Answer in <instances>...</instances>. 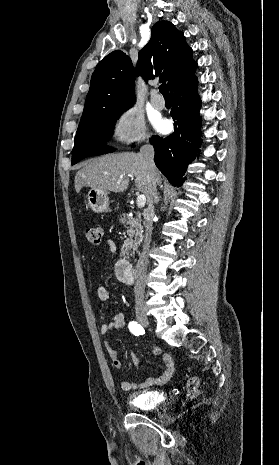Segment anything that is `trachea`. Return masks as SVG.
Listing matches in <instances>:
<instances>
[{
    "mask_svg": "<svg viewBox=\"0 0 279 465\" xmlns=\"http://www.w3.org/2000/svg\"><path fill=\"white\" fill-rule=\"evenodd\" d=\"M159 90L163 96H170L166 83H162L159 86Z\"/></svg>",
    "mask_w": 279,
    "mask_h": 465,
    "instance_id": "obj_1",
    "label": "trachea"
}]
</instances>
